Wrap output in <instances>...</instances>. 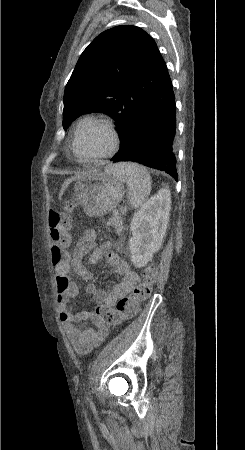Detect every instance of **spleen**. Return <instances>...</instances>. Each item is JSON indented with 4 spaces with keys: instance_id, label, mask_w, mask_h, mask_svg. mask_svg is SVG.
<instances>
[{
    "instance_id": "spleen-1",
    "label": "spleen",
    "mask_w": 245,
    "mask_h": 450,
    "mask_svg": "<svg viewBox=\"0 0 245 450\" xmlns=\"http://www.w3.org/2000/svg\"><path fill=\"white\" fill-rule=\"evenodd\" d=\"M114 173L127 183L128 199L133 208L143 206L151 192V177L147 170L136 163H118Z\"/></svg>"
}]
</instances>
